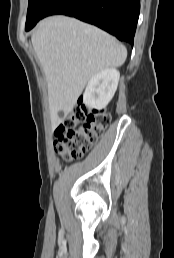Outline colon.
Segmentation results:
<instances>
[{"instance_id": "1", "label": "colon", "mask_w": 174, "mask_h": 258, "mask_svg": "<svg viewBox=\"0 0 174 258\" xmlns=\"http://www.w3.org/2000/svg\"><path fill=\"white\" fill-rule=\"evenodd\" d=\"M110 120L107 111H89L80 98L55 130V150L65 160L81 158L97 142Z\"/></svg>"}]
</instances>
